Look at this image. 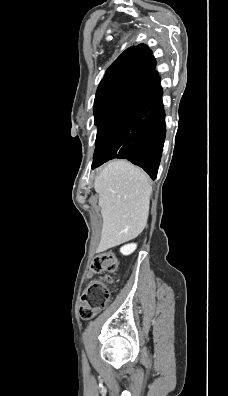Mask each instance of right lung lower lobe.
I'll return each instance as SVG.
<instances>
[{
	"label": "right lung lower lobe",
	"instance_id": "1",
	"mask_svg": "<svg viewBox=\"0 0 228 396\" xmlns=\"http://www.w3.org/2000/svg\"><path fill=\"white\" fill-rule=\"evenodd\" d=\"M147 75L127 108L108 132L92 169L114 159H127L143 168L154 180L166 135L162 88L156 61H145Z\"/></svg>",
	"mask_w": 228,
	"mask_h": 396
}]
</instances>
